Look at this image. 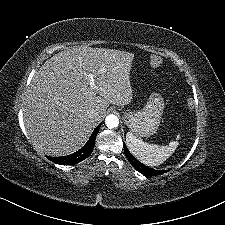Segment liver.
Instances as JSON below:
<instances>
[{
    "label": "liver",
    "instance_id": "liver-1",
    "mask_svg": "<svg viewBox=\"0 0 225 225\" xmlns=\"http://www.w3.org/2000/svg\"><path fill=\"white\" fill-rule=\"evenodd\" d=\"M133 59L129 52L91 47H73L48 59L34 75L23 107L34 148L49 156L81 148L110 104L131 102ZM88 74H94L96 88ZM90 111L99 114L92 118Z\"/></svg>",
    "mask_w": 225,
    "mask_h": 225
}]
</instances>
